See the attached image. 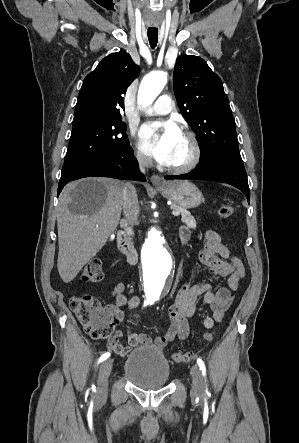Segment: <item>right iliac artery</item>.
Wrapping results in <instances>:
<instances>
[{
    "instance_id": "1",
    "label": "right iliac artery",
    "mask_w": 299,
    "mask_h": 443,
    "mask_svg": "<svg viewBox=\"0 0 299 443\" xmlns=\"http://www.w3.org/2000/svg\"><path fill=\"white\" fill-rule=\"evenodd\" d=\"M148 304H150V301H145V302H144V306H147ZM109 357H110V353H109V352L104 353V354L99 358L98 363L103 362L104 360H106V359L109 358ZM92 390H93V391L95 390V385H92Z\"/></svg>"
}]
</instances>
